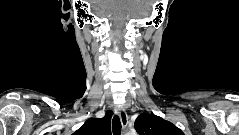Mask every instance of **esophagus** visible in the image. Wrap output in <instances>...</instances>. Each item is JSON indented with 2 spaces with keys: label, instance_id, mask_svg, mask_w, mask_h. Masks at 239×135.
<instances>
[{
  "label": "esophagus",
  "instance_id": "obj_1",
  "mask_svg": "<svg viewBox=\"0 0 239 135\" xmlns=\"http://www.w3.org/2000/svg\"><path fill=\"white\" fill-rule=\"evenodd\" d=\"M117 113L119 114L120 121L123 127H126L128 124V116L123 107L116 109Z\"/></svg>",
  "mask_w": 239,
  "mask_h": 135
}]
</instances>
